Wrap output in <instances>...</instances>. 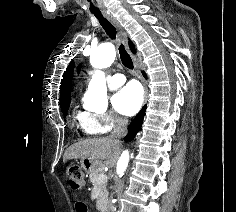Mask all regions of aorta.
<instances>
[{"label": "aorta", "mask_w": 236, "mask_h": 212, "mask_svg": "<svg viewBox=\"0 0 236 212\" xmlns=\"http://www.w3.org/2000/svg\"><path fill=\"white\" fill-rule=\"evenodd\" d=\"M116 51L111 43H104L92 51L90 63L96 68V72L88 85V91L85 94L87 104L90 109L105 107L107 100V86L104 72L101 69L109 67L115 60ZM129 152L124 151L117 163V174L122 176L128 166Z\"/></svg>", "instance_id": "1"}]
</instances>
